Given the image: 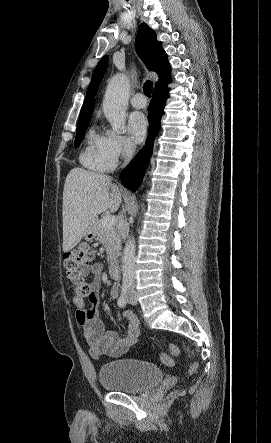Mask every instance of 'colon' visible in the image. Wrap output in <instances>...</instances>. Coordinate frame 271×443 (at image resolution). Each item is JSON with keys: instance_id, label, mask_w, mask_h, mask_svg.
Returning <instances> with one entry per match:
<instances>
[{"instance_id": "colon-1", "label": "colon", "mask_w": 271, "mask_h": 443, "mask_svg": "<svg viewBox=\"0 0 271 443\" xmlns=\"http://www.w3.org/2000/svg\"><path fill=\"white\" fill-rule=\"evenodd\" d=\"M94 258V252L88 244H81L76 248L69 250L63 254V266L67 278L73 284L74 294L82 299H89L92 294L91 284L86 282L81 270L88 266ZM181 349L178 344L171 343L168 351L161 354V360L165 365L172 366L175 358L179 356ZM197 368L193 363L190 372H194Z\"/></svg>"}]
</instances>
